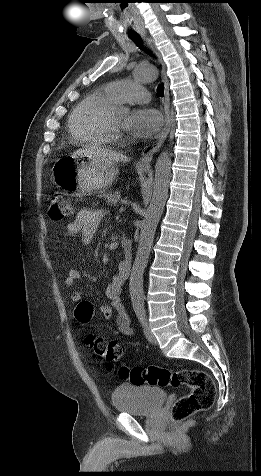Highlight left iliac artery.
<instances>
[{"instance_id": "left-iliac-artery-1", "label": "left iliac artery", "mask_w": 261, "mask_h": 476, "mask_svg": "<svg viewBox=\"0 0 261 476\" xmlns=\"http://www.w3.org/2000/svg\"><path fill=\"white\" fill-rule=\"evenodd\" d=\"M134 311H135L140 323L144 325V323L146 321V312H145L144 306L142 304L135 305L134 306Z\"/></svg>"}]
</instances>
